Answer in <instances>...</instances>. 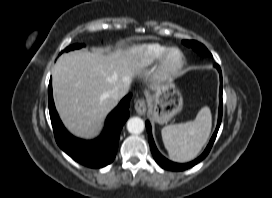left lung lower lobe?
I'll use <instances>...</instances> for the list:
<instances>
[{
  "instance_id": "0a47b994",
  "label": "left lung lower lobe",
  "mask_w": 272,
  "mask_h": 198,
  "mask_svg": "<svg viewBox=\"0 0 272 198\" xmlns=\"http://www.w3.org/2000/svg\"><path fill=\"white\" fill-rule=\"evenodd\" d=\"M215 67L218 69L219 73H220V106H219V116H218V123H217V127H216V130L208 144V146L206 147L205 151L203 152V154L198 157L196 160L192 161V162H189V163H186V164H178V163H174V162H171L169 160H167L165 157H163L159 151L157 150L155 144H154V141H153V137H152V134H151V126H150V123L147 121L146 122V128H147V131H148V140H149V144H150V148H151V151H152V154L154 156V159L155 161L164 169H168V170H173V171H182V170H185V169H188L194 165H196L198 162H200L201 160H203L207 154L209 153L213 143H214V140L216 138V135H217V132H218V129H219V126H220V123H221V119H222V73H221V69L219 67V65H215Z\"/></svg>"
}]
</instances>
